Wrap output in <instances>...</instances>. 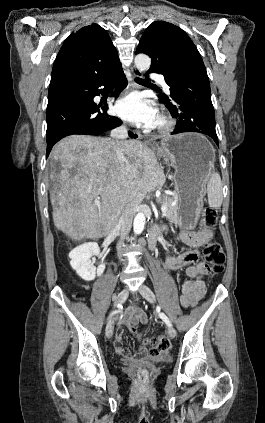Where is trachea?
Returning <instances> with one entry per match:
<instances>
[{"label":"trachea","instance_id":"obj_1","mask_svg":"<svg viewBox=\"0 0 265 423\" xmlns=\"http://www.w3.org/2000/svg\"><path fill=\"white\" fill-rule=\"evenodd\" d=\"M135 81H136L137 83H139V84H148V83H149V82H147L146 80L141 79V78H135Z\"/></svg>","mask_w":265,"mask_h":423}]
</instances>
